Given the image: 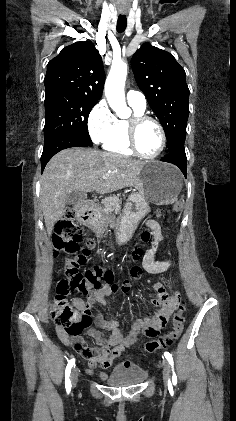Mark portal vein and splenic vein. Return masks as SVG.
<instances>
[{"mask_svg": "<svg viewBox=\"0 0 236 421\" xmlns=\"http://www.w3.org/2000/svg\"><path fill=\"white\" fill-rule=\"evenodd\" d=\"M110 174H103L102 178H109Z\"/></svg>", "mask_w": 236, "mask_h": 421, "instance_id": "18ae733b", "label": "portal vein and splenic vein"}]
</instances>
